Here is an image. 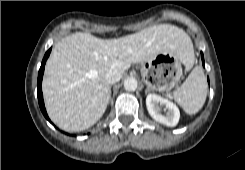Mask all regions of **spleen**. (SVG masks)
<instances>
[{
  "instance_id": "1",
  "label": "spleen",
  "mask_w": 245,
  "mask_h": 170,
  "mask_svg": "<svg viewBox=\"0 0 245 170\" xmlns=\"http://www.w3.org/2000/svg\"><path fill=\"white\" fill-rule=\"evenodd\" d=\"M194 52L191 54V63ZM207 96V82L203 69L196 66L182 85L173 93L175 102L189 115L196 114L204 105Z\"/></svg>"
}]
</instances>
